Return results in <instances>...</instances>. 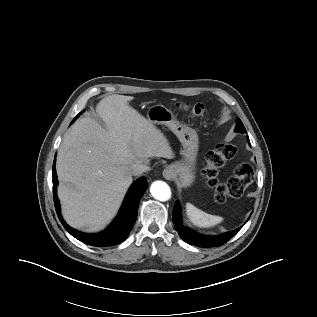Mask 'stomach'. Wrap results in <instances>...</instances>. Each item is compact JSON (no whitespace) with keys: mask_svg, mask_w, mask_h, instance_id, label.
Returning <instances> with one entry per match:
<instances>
[{"mask_svg":"<svg viewBox=\"0 0 317 317\" xmlns=\"http://www.w3.org/2000/svg\"><path fill=\"white\" fill-rule=\"evenodd\" d=\"M147 119L152 124L168 127L178 137L183 146L180 152L182 159L167 166V169L173 172L179 187H189L195 180L194 168L199 149L197 132L179 122L174 113L162 104L151 106L147 111Z\"/></svg>","mask_w":317,"mask_h":317,"instance_id":"stomach-1","label":"stomach"}]
</instances>
